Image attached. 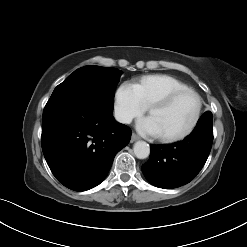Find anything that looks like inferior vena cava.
<instances>
[{"label":"inferior vena cava","instance_id":"1","mask_svg":"<svg viewBox=\"0 0 247 247\" xmlns=\"http://www.w3.org/2000/svg\"><path fill=\"white\" fill-rule=\"evenodd\" d=\"M115 119L118 122L124 123V124L125 123L129 124L132 121V117L129 114H127L123 111H120V110H115Z\"/></svg>","mask_w":247,"mask_h":247}]
</instances>
